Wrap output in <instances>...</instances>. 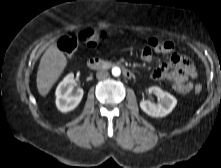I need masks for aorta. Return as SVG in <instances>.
<instances>
[{
    "instance_id": "obj_1",
    "label": "aorta",
    "mask_w": 221,
    "mask_h": 168,
    "mask_svg": "<svg viewBox=\"0 0 221 168\" xmlns=\"http://www.w3.org/2000/svg\"><path fill=\"white\" fill-rule=\"evenodd\" d=\"M121 74V70L119 67H113L112 68V75L115 76V77H118L120 76Z\"/></svg>"
}]
</instances>
